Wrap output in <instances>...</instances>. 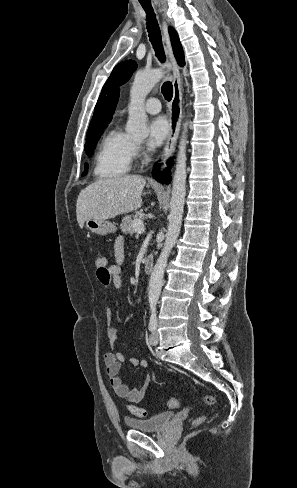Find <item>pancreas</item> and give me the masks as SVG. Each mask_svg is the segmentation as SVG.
<instances>
[{"mask_svg": "<svg viewBox=\"0 0 297 488\" xmlns=\"http://www.w3.org/2000/svg\"><path fill=\"white\" fill-rule=\"evenodd\" d=\"M140 214L139 212L137 215ZM136 218L132 219L131 216H125L120 224V228L124 234H133L135 232L133 228L134 221Z\"/></svg>", "mask_w": 297, "mask_h": 488, "instance_id": "cf45deb5", "label": "pancreas"}]
</instances>
